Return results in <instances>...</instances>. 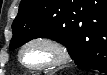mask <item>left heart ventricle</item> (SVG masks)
I'll use <instances>...</instances> for the list:
<instances>
[{"instance_id":"left-heart-ventricle-1","label":"left heart ventricle","mask_w":107,"mask_h":75,"mask_svg":"<svg viewBox=\"0 0 107 75\" xmlns=\"http://www.w3.org/2000/svg\"><path fill=\"white\" fill-rule=\"evenodd\" d=\"M23 58L27 64L36 66L54 60L55 53L46 46L33 45L25 50Z\"/></svg>"}]
</instances>
